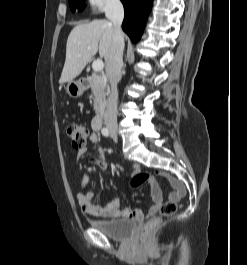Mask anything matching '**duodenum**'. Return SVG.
Here are the masks:
<instances>
[{"label":"duodenum","instance_id":"410a0bca","mask_svg":"<svg viewBox=\"0 0 247 265\" xmlns=\"http://www.w3.org/2000/svg\"><path fill=\"white\" fill-rule=\"evenodd\" d=\"M84 84H88V80L85 79L83 81ZM105 114H106V108H102L101 111L99 112V114H97L92 121V126L94 128L95 131H99L103 125V121L105 118Z\"/></svg>","mask_w":247,"mask_h":265}]
</instances>
